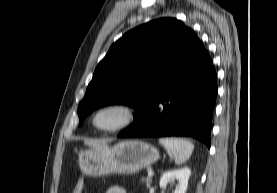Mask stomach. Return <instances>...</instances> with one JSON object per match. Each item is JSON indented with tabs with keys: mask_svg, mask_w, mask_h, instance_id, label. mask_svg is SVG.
I'll list each match as a JSON object with an SVG mask.
<instances>
[{
	"mask_svg": "<svg viewBox=\"0 0 277 193\" xmlns=\"http://www.w3.org/2000/svg\"><path fill=\"white\" fill-rule=\"evenodd\" d=\"M159 152L153 145L141 140H125L103 148L81 150L78 164L88 176L134 174L156 162Z\"/></svg>",
	"mask_w": 277,
	"mask_h": 193,
	"instance_id": "0dacf381",
	"label": "stomach"
}]
</instances>
